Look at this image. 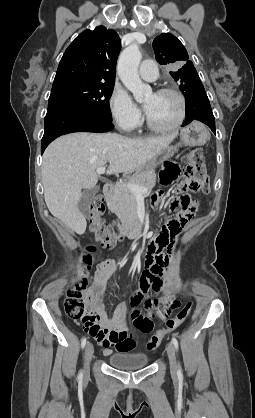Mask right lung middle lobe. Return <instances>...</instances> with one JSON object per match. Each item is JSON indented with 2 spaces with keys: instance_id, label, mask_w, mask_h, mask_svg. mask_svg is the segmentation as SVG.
Returning <instances> with one entry per match:
<instances>
[{
  "instance_id": "right-lung-middle-lobe-1",
  "label": "right lung middle lobe",
  "mask_w": 255,
  "mask_h": 418,
  "mask_svg": "<svg viewBox=\"0 0 255 418\" xmlns=\"http://www.w3.org/2000/svg\"><path fill=\"white\" fill-rule=\"evenodd\" d=\"M114 83L68 81L52 86L48 108L71 107L112 122L109 99Z\"/></svg>"
}]
</instances>
